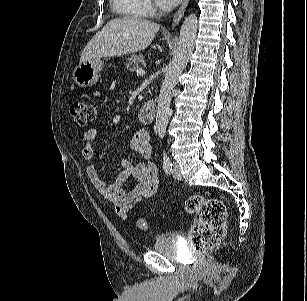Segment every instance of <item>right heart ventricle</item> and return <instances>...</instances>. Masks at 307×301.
Wrapping results in <instances>:
<instances>
[{"label": "right heart ventricle", "mask_w": 307, "mask_h": 301, "mask_svg": "<svg viewBox=\"0 0 307 301\" xmlns=\"http://www.w3.org/2000/svg\"><path fill=\"white\" fill-rule=\"evenodd\" d=\"M112 8L118 14L134 19H144L147 15L145 0H111Z\"/></svg>", "instance_id": "e07e8e85"}]
</instances>
